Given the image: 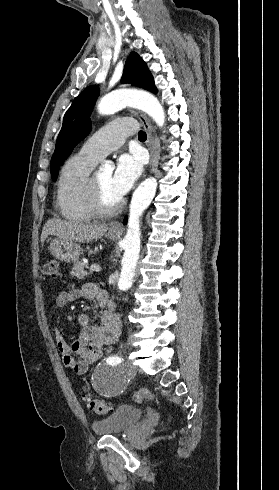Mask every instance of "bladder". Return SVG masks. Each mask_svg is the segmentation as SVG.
<instances>
[{"label":"bladder","mask_w":279,"mask_h":490,"mask_svg":"<svg viewBox=\"0 0 279 490\" xmlns=\"http://www.w3.org/2000/svg\"><path fill=\"white\" fill-rule=\"evenodd\" d=\"M144 416V411L134 405H119L117 411L94 421L92 430L97 436L120 435L122 432L134 428Z\"/></svg>","instance_id":"1"}]
</instances>
